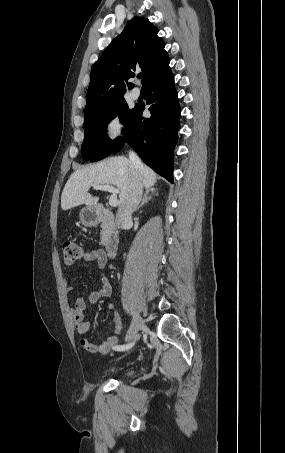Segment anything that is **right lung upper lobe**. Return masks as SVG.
Wrapping results in <instances>:
<instances>
[{
  "mask_svg": "<svg viewBox=\"0 0 285 453\" xmlns=\"http://www.w3.org/2000/svg\"><path fill=\"white\" fill-rule=\"evenodd\" d=\"M158 29L147 18L134 17L103 52L91 69L84 114L124 97L128 83L140 67L142 83L169 67V58Z\"/></svg>",
  "mask_w": 285,
  "mask_h": 453,
  "instance_id": "right-lung-upper-lobe-1",
  "label": "right lung upper lobe"
}]
</instances>
